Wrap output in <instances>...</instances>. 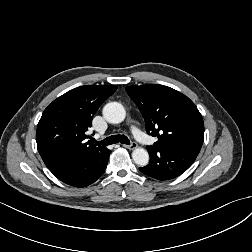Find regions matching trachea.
Returning <instances> with one entry per match:
<instances>
[{
  "label": "trachea",
  "mask_w": 252,
  "mask_h": 252,
  "mask_svg": "<svg viewBox=\"0 0 252 252\" xmlns=\"http://www.w3.org/2000/svg\"><path fill=\"white\" fill-rule=\"evenodd\" d=\"M119 142L126 145L130 144V141L127 138V136L120 135V134L107 137L106 139L100 141L99 143L102 145H111V144H116Z\"/></svg>",
  "instance_id": "obj_1"
}]
</instances>
